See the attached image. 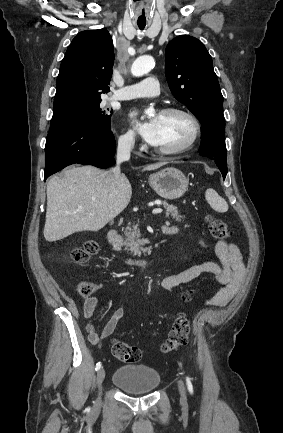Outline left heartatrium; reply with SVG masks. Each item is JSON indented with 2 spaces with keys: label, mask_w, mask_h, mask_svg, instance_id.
Segmentation results:
<instances>
[{
  "label": "left heart atrium",
  "mask_w": 283,
  "mask_h": 433,
  "mask_svg": "<svg viewBox=\"0 0 283 433\" xmlns=\"http://www.w3.org/2000/svg\"><path fill=\"white\" fill-rule=\"evenodd\" d=\"M128 118L130 123L149 147L155 150L158 149L161 139L158 118L155 117L148 122H142L138 119V113L136 111L130 112Z\"/></svg>",
  "instance_id": "39dd6f15"
}]
</instances>
